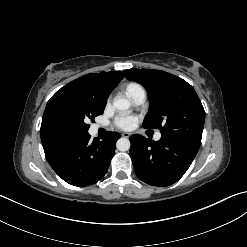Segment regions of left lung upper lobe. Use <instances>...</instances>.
<instances>
[{
  "label": "left lung upper lobe",
  "mask_w": 247,
  "mask_h": 247,
  "mask_svg": "<svg viewBox=\"0 0 247 247\" xmlns=\"http://www.w3.org/2000/svg\"><path fill=\"white\" fill-rule=\"evenodd\" d=\"M124 73L127 79L147 90L149 111L144 128H158L162 135L181 137L201 145L205 111L190 84L161 70L128 69Z\"/></svg>",
  "instance_id": "left-lung-upper-lobe-1"
}]
</instances>
